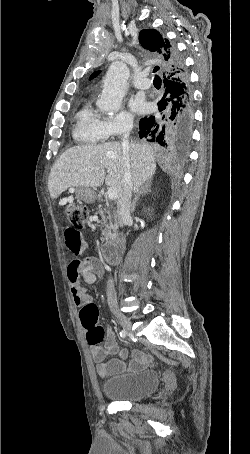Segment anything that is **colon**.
Returning <instances> with one entry per match:
<instances>
[{
    "label": "colon",
    "mask_w": 250,
    "mask_h": 454,
    "mask_svg": "<svg viewBox=\"0 0 250 454\" xmlns=\"http://www.w3.org/2000/svg\"><path fill=\"white\" fill-rule=\"evenodd\" d=\"M66 216L70 228L80 231L85 227L88 219V208L82 204L70 203L66 206ZM79 316L86 332L87 341L93 346H98L105 337V330L99 324L100 312L98 307L94 303L86 304L80 308Z\"/></svg>",
    "instance_id": "obj_1"
}]
</instances>
